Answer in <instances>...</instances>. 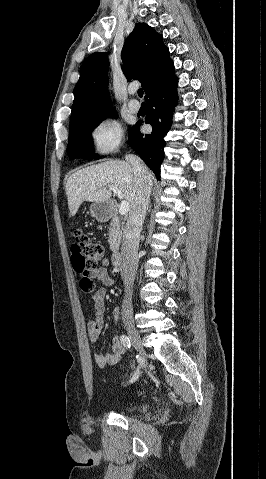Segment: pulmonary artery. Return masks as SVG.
Here are the masks:
<instances>
[{
  "label": "pulmonary artery",
  "instance_id": "1",
  "mask_svg": "<svg viewBox=\"0 0 266 479\" xmlns=\"http://www.w3.org/2000/svg\"><path fill=\"white\" fill-rule=\"evenodd\" d=\"M129 93L130 94H134L135 91L130 89L129 90ZM128 108L130 109L131 112H138L139 109H140V103L136 100V99H131L129 102H128Z\"/></svg>",
  "mask_w": 266,
  "mask_h": 479
}]
</instances>
